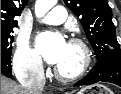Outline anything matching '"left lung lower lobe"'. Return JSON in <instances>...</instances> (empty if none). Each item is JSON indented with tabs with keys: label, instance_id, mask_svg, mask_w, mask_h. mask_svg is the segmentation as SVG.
I'll list each match as a JSON object with an SVG mask.
<instances>
[{
	"label": "left lung lower lobe",
	"instance_id": "1",
	"mask_svg": "<svg viewBox=\"0 0 121 94\" xmlns=\"http://www.w3.org/2000/svg\"><path fill=\"white\" fill-rule=\"evenodd\" d=\"M100 81L114 83L121 87V59L110 58L98 61L83 79L74 84V87Z\"/></svg>",
	"mask_w": 121,
	"mask_h": 94
}]
</instances>
